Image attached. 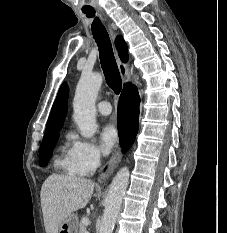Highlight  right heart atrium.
I'll return each mask as SVG.
<instances>
[{"label": "right heart atrium", "mask_w": 227, "mask_h": 233, "mask_svg": "<svg viewBox=\"0 0 227 233\" xmlns=\"http://www.w3.org/2000/svg\"><path fill=\"white\" fill-rule=\"evenodd\" d=\"M72 138V158L76 169L82 175L95 172L102 161L100 148L93 142L81 139L75 135Z\"/></svg>", "instance_id": "d8ad5b80"}]
</instances>
